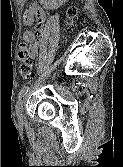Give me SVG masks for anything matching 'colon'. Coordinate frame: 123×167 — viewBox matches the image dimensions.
<instances>
[{
	"mask_svg": "<svg viewBox=\"0 0 123 167\" xmlns=\"http://www.w3.org/2000/svg\"><path fill=\"white\" fill-rule=\"evenodd\" d=\"M77 14V9L75 7H70L67 10L68 23L70 24L73 18ZM18 58L22 62L20 67V72L23 78L29 79L33 76V65L29 60V49L25 44H20L18 48Z\"/></svg>",
	"mask_w": 123,
	"mask_h": 167,
	"instance_id": "5ec220e1",
	"label": "colon"
}]
</instances>
